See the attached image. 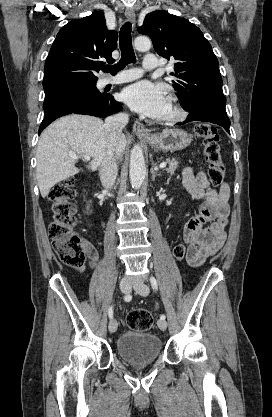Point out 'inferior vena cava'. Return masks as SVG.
Listing matches in <instances>:
<instances>
[{
    "mask_svg": "<svg viewBox=\"0 0 272 417\" xmlns=\"http://www.w3.org/2000/svg\"><path fill=\"white\" fill-rule=\"evenodd\" d=\"M129 121V116L126 113H117L107 117L104 123V129L108 134V143L110 147L116 145L118 138L122 135V129ZM118 174V167L114 151L109 149L101 163L99 169V176L102 186L110 189L116 180Z\"/></svg>",
    "mask_w": 272,
    "mask_h": 417,
    "instance_id": "602c4592",
    "label": "inferior vena cava"
}]
</instances>
